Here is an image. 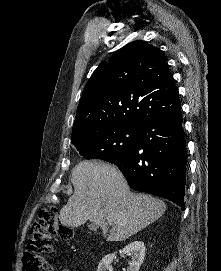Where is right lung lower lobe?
Segmentation results:
<instances>
[{"mask_svg": "<svg viewBox=\"0 0 221 271\" xmlns=\"http://www.w3.org/2000/svg\"><path fill=\"white\" fill-rule=\"evenodd\" d=\"M181 106L151 118L140 128L136 144L113 162L129 186L167 198L185 209L187 149Z\"/></svg>", "mask_w": 221, "mask_h": 271, "instance_id": "1", "label": "right lung lower lobe"}]
</instances>
